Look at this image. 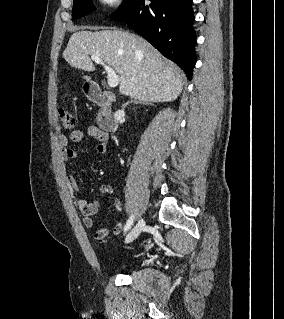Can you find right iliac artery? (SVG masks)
Returning <instances> with one entry per match:
<instances>
[{"label":"right iliac artery","instance_id":"right-iliac-artery-1","mask_svg":"<svg viewBox=\"0 0 284 319\" xmlns=\"http://www.w3.org/2000/svg\"><path fill=\"white\" fill-rule=\"evenodd\" d=\"M134 216L131 215V217L127 220L126 225L124 226V231H127L128 229L131 228L133 224Z\"/></svg>","mask_w":284,"mask_h":319}]
</instances>
